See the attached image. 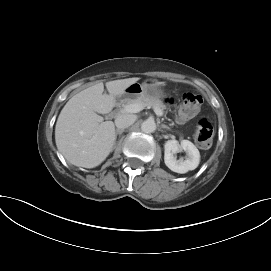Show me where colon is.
I'll return each mask as SVG.
<instances>
[{"mask_svg": "<svg viewBox=\"0 0 271 271\" xmlns=\"http://www.w3.org/2000/svg\"><path fill=\"white\" fill-rule=\"evenodd\" d=\"M202 104V98L199 95L186 93L182 97L181 105L177 113V121L185 123L194 117ZM214 136L213 126L208 118L198 120L195 131V139L199 147L208 149L212 145Z\"/></svg>", "mask_w": 271, "mask_h": 271, "instance_id": "obj_1", "label": "colon"}]
</instances>
